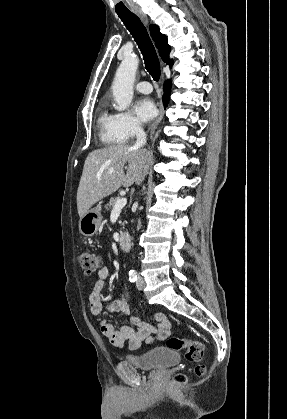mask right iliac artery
<instances>
[{
  "instance_id": "right-iliac-artery-1",
  "label": "right iliac artery",
  "mask_w": 287,
  "mask_h": 419,
  "mask_svg": "<svg viewBox=\"0 0 287 419\" xmlns=\"http://www.w3.org/2000/svg\"><path fill=\"white\" fill-rule=\"evenodd\" d=\"M137 278H138L137 272L135 270H131L129 272V280H130V282L137 281Z\"/></svg>"
}]
</instances>
